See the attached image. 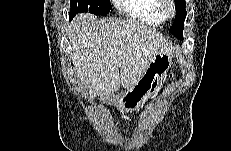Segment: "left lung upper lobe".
Returning a JSON list of instances; mask_svg holds the SVG:
<instances>
[{
	"instance_id": "obj_1",
	"label": "left lung upper lobe",
	"mask_w": 231,
	"mask_h": 151,
	"mask_svg": "<svg viewBox=\"0 0 231 151\" xmlns=\"http://www.w3.org/2000/svg\"><path fill=\"white\" fill-rule=\"evenodd\" d=\"M185 0H175L176 19L169 29V32L179 39L183 40L184 21L187 15Z\"/></svg>"
}]
</instances>
